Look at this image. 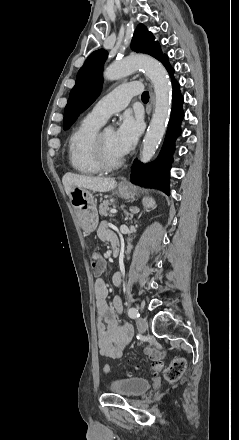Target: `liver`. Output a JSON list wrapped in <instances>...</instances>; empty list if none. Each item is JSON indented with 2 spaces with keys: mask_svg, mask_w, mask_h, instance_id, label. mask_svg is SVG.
Listing matches in <instances>:
<instances>
[{
  "mask_svg": "<svg viewBox=\"0 0 239 440\" xmlns=\"http://www.w3.org/2000/svg\"><path fill=\"white\" fill-rule=\"evenodd\" d=\"M62 182L67 196H70V192H73L75 188H84L92 192H110L117 186L115 178H93V176H79L71 172L63 176Z\"/></svg>",
  "mask_w": 239,
  "mask_h": 440,
  "instance_id": "obj_1",
  "label": "liver"
}]
</instances>
